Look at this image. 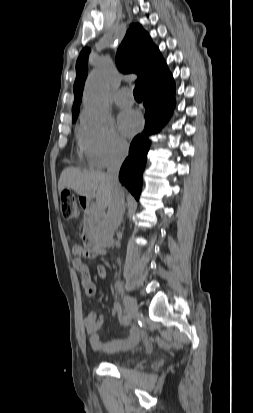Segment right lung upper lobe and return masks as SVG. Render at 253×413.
<instances>
[{"label": "right lung upper lobe", "instance_id": "right-lung-upper-lobe-1", "mask_svg": "<svg viewBox=\"0 0 253 413\" xmlns=\"http://www.w3.org/2000/svg\"><path fill=\"white\" fill-rule=\"evenodd\" d=\"M89 48L81 51L76 62L74 83L73 119L78 117L83 87L88 72ZM116 64L122 73H136L143 88L151 81L172 78L160 51L152 43L148 33L140 24H131L124 40L118 48Z\"/></svg>", "mask_w": 253, "mask_h": 413}]
</instances>
